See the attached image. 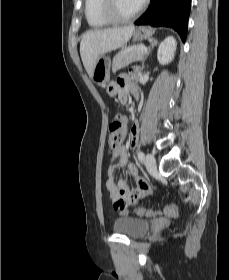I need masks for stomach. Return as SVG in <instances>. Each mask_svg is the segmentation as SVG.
I'll return each mask as SVG.
<instances>
[{"mask_svg": "<svg viewBox=\"0 0 229 280\" xmlns=\"http://www.w3.org/2000/svg\"><path fill=\"white\" fill-rule=\"evenodd\" d=\"M155 30L149 27H139L133 33L134 41H143L150 39L154 34ZM110 67L111 60L109 57H100L93 67L91 73V80L98 84L107 83L110 80Z\"/></svg>", "mask_w": 229, "mask_h": 280, "instance_id": "stomach-1", "label": "stomach"}]
</instances>
